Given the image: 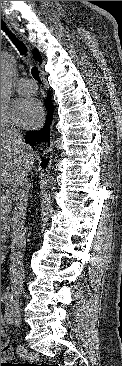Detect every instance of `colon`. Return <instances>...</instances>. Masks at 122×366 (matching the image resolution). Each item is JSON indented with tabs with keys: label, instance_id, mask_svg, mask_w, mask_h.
<instances>
[{
	"label": "colon",
	"instance_id": "1",
	"mask_svg": "<svg viewBox=\"0 0 122 366\" xmlns=\"http://www.w3.org/2000/svg\"><path fill=\"white\" fill-rule=\"evenodd\" d=\"M1 351L5 353L6 356L11 357V350L8 346L7 337L4 334L3 330H1Z\"/></svg>",
	"mask_w": 122,
	"mask_h": 366
}]
</instances>
